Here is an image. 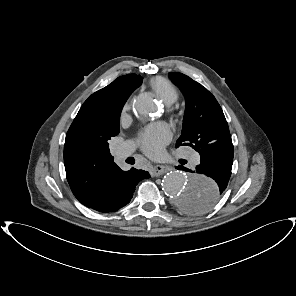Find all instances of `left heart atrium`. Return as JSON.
<instances>
[{
    "instance_id": "39dd6f15",
    "label": "left heart atrium",
    "mask_w": 296,
    "mask_h": 296,
    "mask_svg": "<svg viewBox=\"0 0 296 296\" xmlns=\"http://www.w3.org/2000/svg\"><path fill=\"white\" fill-rule=\"evenodd\" d=\"M171 130L165 123H154L142 128L138 133L141 149L150 156H155L171 140Z\"/></svg>"
}]
</instances>
